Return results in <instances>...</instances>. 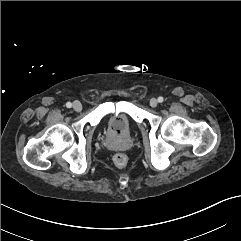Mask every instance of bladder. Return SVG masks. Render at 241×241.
<instances>
[{"instance_id": "bladder-1", "label": "bladder", "mask_w": 241, "mask_h": 241, "mask_svg": "<svg viewBox=\"0 0 241 241\" xmlns=\"http://www.w3.org/2000/svg\"><path fill=\"white\" fill-rule=\"evenodd\" d=\"M106 127L110 134L118 136L129 135L132 130V123L124 114L111 115L106 121Z\"/></svg>"}]
</instances>
